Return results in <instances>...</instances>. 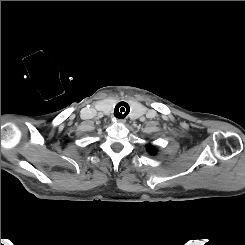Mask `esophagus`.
I'll use <instances>...</instances> for the list:
<instances>
[{
    "mask_svg": "<svg viewBox=\"0 0 245 245\" xmlns=\"http://www.w3.org/2000/svg\"><path fill=\"white\" fill-rule=\"evenodd\" d=\"M117 121L120 122V123H125L124 119H117Z\"/></svg>",
    "mask_w": 245,
    "mask_h": 245,
    "instance_id": "1",
    "label": "esophagus"
}]
</instances>
